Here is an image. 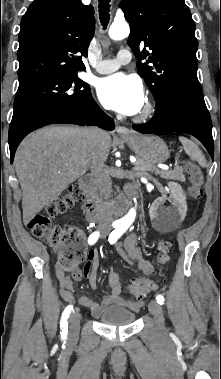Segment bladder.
<instances>
[{"mask_svg":"<svg viewBox=\"0 0 221 379\" xmlns=\"http://www.w3.org/2000/svg\"><path fill=\"white\" fill-rule=\"evenodd\" d=\"M136 319V314L124 307L111 306L107 308L99 317L101 323L111 326H123L132 324Z\"/></svg>","mask_w":221,"mask_h":379,"instance_id":"31cf9c89","label":"bladder"}]
</instances>
